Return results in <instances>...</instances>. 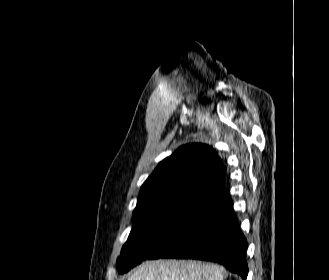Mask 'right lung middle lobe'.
I'll return each mask as SVG.
<instances>
[{
	"label": "right lung middle lobe",
	"instance_id": "right-lung-middle-lobe-1",
	"mask_svg": "<svg viewBox=\"0 0 329 280\" xmlns=\"http://www.w3.org/2000/svg\"><path fill=\"white\" fill-rule=\"evenodd\" d=\"M207 200L172 197L148 204L133 214L134 225L117 259L121 273L149 259L185 223L194 217Z\"/></svg>",
	"mask_w": 329,
	"mask_h": 280
}]
</instances>
